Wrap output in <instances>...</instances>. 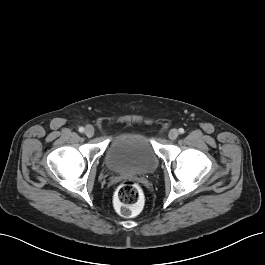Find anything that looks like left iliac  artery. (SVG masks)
<instances>
[{"label":"left iliac artery","mask_w":265,"mask_h":265,"mask_svg":"<svg viewBox=\"0 0 265 265\" xmlns=\"http://www.w3.org/2000/svg\"><path fill=\"white\" fill-rule=\"evenodd\" d=\"M184 132H185V131H184L183 128H180V129H179V133H180V134H183Z\"/></svg>","instance_id":"left-iliac-artery-1"}]
</instances>
